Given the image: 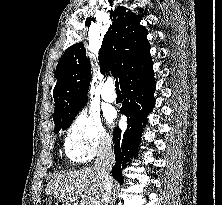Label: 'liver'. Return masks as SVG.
<instances>
[{"mask_svg": "<svg viewBox=\"0 0 222 205\" xmlns=\"http://www.w3.org/2000/svg\"><path fill=\"white\" fill-rule=\"evenodd\" d=\"M47 195L54 196L67 205L78 201L80 205H103V186L95 169L69 171L51 180L45 189Z\"/></svg>", "mask_w": 222, "mask_h": 205, "instance_id": "1", "label": "liver"}]
</instances>
